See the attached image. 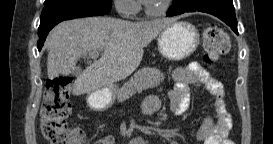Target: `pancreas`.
<instances>
[{
  "instance_id": "pancreas-1",
  "label": "pancreas",
  "mask_w": 273,
  "mask_h": 144,
  "mask_svg": "<svg viewBox=\"0 0 273 144\" xmlns=\"http://www.w3.org/2000/svg\"><path fill=\"white\" fill-rule=\"evenodd\" d=\"M164 78L165 76L160 70L144 67L117 90L116 98L118 102H123L136 92L158 86Z\"/></svg>"
}]
</instances>
